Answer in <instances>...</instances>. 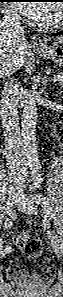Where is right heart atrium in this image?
Segmentation results:
<instances>
[{
    "instance_id": "right-heart-atrium-1",
    "label": "right heart atrium",
    "mask_w": 63,
    "mask_h": 297,
    "mask_svg": "<svg viewBox=\"0 0 63 297\" xmlns=\"http://www.w3.org/2000/svg\"><path fill=\"white\" fill-rule=\"evenodd\" d=\"M6 14H7V17L11 20H14V21L18 20L19 16L15 11H13L11 9H7Z\"/></svg>"
}]
</instances>
